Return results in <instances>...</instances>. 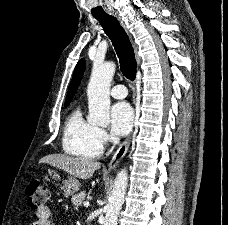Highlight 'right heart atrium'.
<instances>
[{
	"label": "right heart atrium",
	"mask_w": 228,
	"mask_h": 225,
	"mask_svg": "<svg viewBox=\"0 0 228 225\" xmlns=\"http://www.w3.org/2000/svg\"><path fill=\"white\" fill-rule=\"evenodd\" d=\"M98 137L102 144H105L108 142L109 136L105 129L98 128Z\"/></svg>",
	"instance_id": "d8ad5b80"
}]
</instances>
